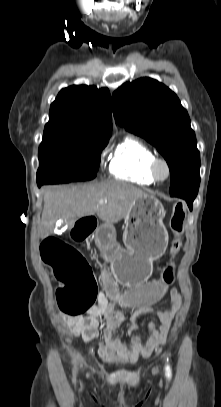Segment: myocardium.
Instances as JSON below:
<instances>
[{
	"instance_id": "obj_1",
	"label": "myocardium",
	"mask_w": 221,
	"mask_h": 407,
	"mask_svg": "<svg viewBox=\"0 0 221 407\" xmlns=\"http://www.w3.org/2000/svg\"><path fill=\"white\" fill-rule=\"evenodd\" d=\"M163 167L165 174H160V168ZM150 173L156 182H164L171 176V167L168 161L161 157H156L150 164Z\"/></svg>"
}]
</instances>
